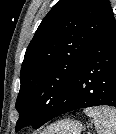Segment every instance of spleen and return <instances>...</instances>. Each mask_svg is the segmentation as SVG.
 I'll return each mask as SVG.
<instances>
[{"label": "spleen", "mask_w": 116, "mask_h": 134, "mask_svg": "<svg viewBox=\"0 0 116 134\" xmlns=\"http://www.w3.org/2000/svg\"><path fill=\"white\" fill-rule=\"evenodd\" d=\"M84 113L93 119L98 134H116V109L102 106L86 108Z\"/></svg>", "instance_id": "3e777b00"}]
</instances>
